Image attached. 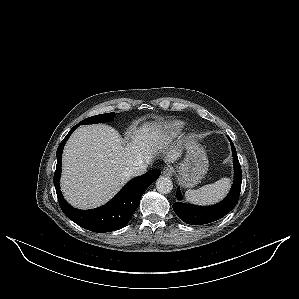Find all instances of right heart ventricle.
Wrapping results in <instances>:
<instances>
[{
  "mask_svg": "<svg viewBox=\"0 0 299 299\" xmlns=\"http://www.w3.org/2000/svg\"><path fill=\"white\" fill-rule=\"evenodd\" d=\"M185 127V122L181 120H175L169 123V130L171 133L181 132Z\"/></svg>",
  "mask_w": 299,
  "mask_h": 299,
  "instance_id": "right-heart-ventricle-1",
  "label": "right heart ventricle"
}]
</instances>
